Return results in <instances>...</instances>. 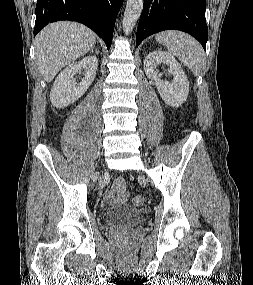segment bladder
I'll list each match as a JSON object with an SVG mask.
<instances>
[{"mask_svg": "<svg viewBox=\"0 0 253 285\" xmlns=\"http://www.w3.org/2000/svg\"><path fill=\"white\" fill-rule=\"evenodd\" d=\"M103 217L106 225L114 228L133 227L144 221L143 212L129 205L107 209Z\"/></svg>", "mask_w": 253, "mask_h": 285, "instance_id": "1", "label": "bladder"}]
</instances>
